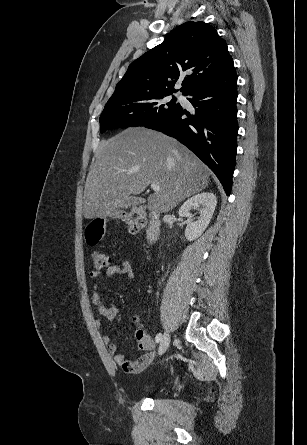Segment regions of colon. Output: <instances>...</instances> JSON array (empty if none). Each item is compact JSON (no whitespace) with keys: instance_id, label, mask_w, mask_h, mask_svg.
I'll use <instances>...</instances> for the list:
<instances>
[{"instance_id":"5ec220e1","label":"colon","mask_w":307,"mask_h":445,"mask_svg":"<svg viewBox=\"0 0 307 445\" xmlns=\"http://www.w3.org/2000/svg\"><path fill=\"white\" fill-rule=\"evenodd\" d=\"M114 219L122 220L130 230L136 234L143 230L146 224L145 217L135 211L123 212L115 215ZM107 220L104 218H96L91 220L85 228V242L89 246L97 245L105 236ZM91 259L96 270H101L110 264V258L106 252L102 250H94L91 253ZM136 337L140 345H149L150 337L147 336L142 329H138Z\"/></svg>"}]
</instances>
